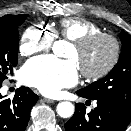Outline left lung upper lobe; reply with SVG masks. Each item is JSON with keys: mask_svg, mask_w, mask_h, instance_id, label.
Listing matches in <instances>:
<instances>
[{"mask_svg": "<svg viewBox=\"0 0 131 131\" xmlns=\"http://www.w3.org/2000/svg\"><path fill=\"white\" fill-rule=\"evenodd\" d=\"M122 49L118 63L103 79L80 89L87 98L115 102L131 112V36L121 32Z\"/></svg>", "mask_w": 131, "mask_h": 131, "instance_id": "left-lung-upper-lobe-1", "label": "left lung upper lobe"}]
</instances>
